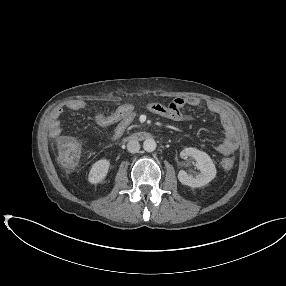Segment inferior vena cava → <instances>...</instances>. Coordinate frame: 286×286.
<instances>
[{"instance_id":"obj_1","label":"inferior vena cava","mask_w":286,"mask_h":286,"mask_svg":"<svg viewBox=\"0 0 286 286\" xmlns=\"http://www.w3.org/2000/svg\"><path fill=\"white\" fill-rule=\"evenodd\" d=\"M140 149V144L137 140H130L127 143V150L130 153H137Z\"/></svg>"}]
</instances>
